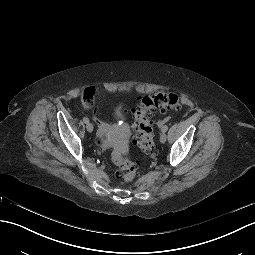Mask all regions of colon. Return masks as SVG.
Instances as JSON below:
<instances>
[{"mask_svg": "<svg viewBox=\"0 0 255 255\" xmlns=\"http://www.w3.org/2000/svg\"><path fill=\"white\" fill-rule=\"evenodd\" d=\"M94 90L88 88L83 92V98H92ZM180 107L179 98L173 93H158L144 97L134 110L133 123L136 145L144 152H150L154 146V133L150 121V114L155 111L163 113L177 111ZM113 160L117 166L116 175L124 182H131L137 173L138 164L123 156L118 151L113 153Z\"/></svg>", "mask_w": 255, "mask_h": 255, "instance_id": "colon-1", "label": "colon"}]
</instances>
